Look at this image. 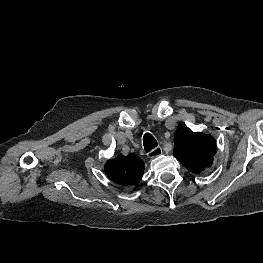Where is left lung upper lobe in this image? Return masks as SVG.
Here are the masks:
<instances>
[{
	"instance_id": "1",
	"label": "left lung upper lobe",
	"mask_w": 263,
	"mask_h": 263,
	"mask_svg": "<svg viewBox=\"0 0 263 263\" xmlns=\"http://www.w3.org/2000/svg\"><path fill=\"white\" fill-rule=\"evenodd\" d=\"M173 154L189 171L201 173L213 164L216 142L211 135L180 125L174 135Z\"/></svg>"
}]
</instances>
